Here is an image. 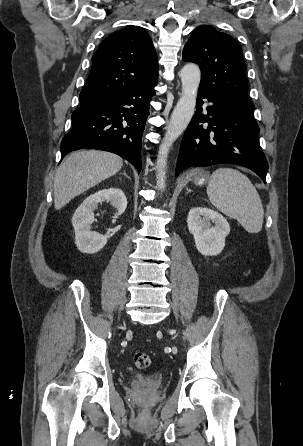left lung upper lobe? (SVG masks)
<instances>
[{"label": "left lung upper lobe", "instance_id": "1", "mask_svg": "<svg viewBox=\"0 0 303 446\" xmlns=\"http://www.w3.org/2000/svg\"><path fill=\"white\" fill-rule=\"evenodd\" d=\"M183 60L200 66V87L222 92L253 113L242 49L230 35L211 26L197 27L184 47Z\"/></svg>", "mask_w": 303, "mask_h": 446}]
</instances>
